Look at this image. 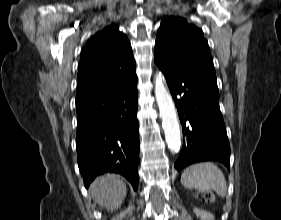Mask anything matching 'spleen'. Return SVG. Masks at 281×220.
<instances>
[{
  "instance_id": "obj_1",
  "label": "spleen",
  "mask_w": 281,
  "mask_h": 220,
  "mask_svg": "<svg viewBox=\"0 0 281 220\" xmlns=\"http://www.w3.org/2000/svg\"><path fill=\"white\" fill-rule=\"evenodd\" d=\"M181 183L188 189L214 190L219 196L227 193L223 172L211 162L196 163L187 167L181 175Z\"/></svg>"
}]
</instances>
